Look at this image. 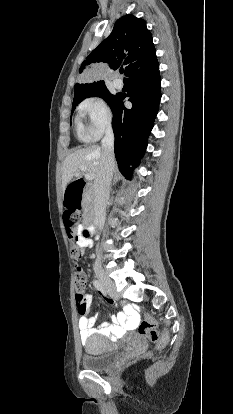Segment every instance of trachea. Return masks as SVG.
<instances>
[{"label":"trachea","mask_w":233,"mask_h":414,"mask_svg":"<svg viewBox=\"0 0 233 414\" xmlns=\"http://www.w3.org/2000/svg\"><path fill=\"white\" fill-rule=\"evenodd\" d=\"M123 72H124V70H123V69H121V70H120V73L122 74Z\"/></svg>","instance_id":"1"}]
</instances>
